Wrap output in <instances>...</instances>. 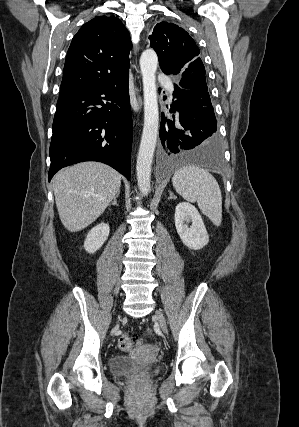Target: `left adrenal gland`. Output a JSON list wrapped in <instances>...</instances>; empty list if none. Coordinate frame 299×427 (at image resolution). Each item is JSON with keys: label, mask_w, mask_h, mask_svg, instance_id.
I'll return each mask as SVG.
<instances>
[{"label": "left adrenal gland", "mask_w": 299, "mask_h": 427, "mask_svg": "<svg viewBox=\"0 0 299 427\" xmlns=\"http://www.w3.org/2000/svg\"><path fill=\"white\" fill-rule=\"evenodd\" d=\"M169 193H170L169 199L176 198V196L172 192H169Z\"/></svg>", "instance_id": "1"}]
</instances>
